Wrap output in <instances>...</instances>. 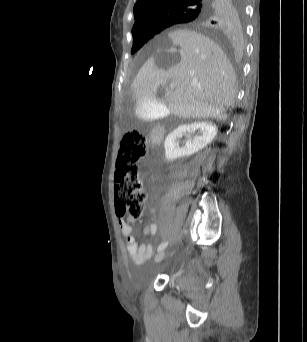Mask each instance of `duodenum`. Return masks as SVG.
<instances>
[{"label": "duodenum", "instance_id": "1", "mask_svg": "<svg viewBox=\"0 0 307 342\" xmlns=\"http://www.w3.org/2000/svg\"><path fill=\"white\" fill-rule=\"evenodd\" d=\"M164 137V128L156 126L150 134V142L152 146H158Z\"/></svg>", "mask_w": 307, "mask_h": 342}]
</instances>
